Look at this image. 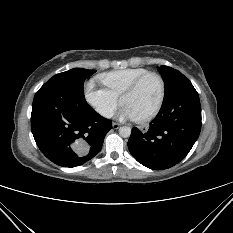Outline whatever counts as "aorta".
Returning <instances> with one entry per match:
<instances>
[{
    "label": "aorta",
    "mask_w": 233,
    "mask_h": 233,
    "mask_svg": "<svg viewBox=\"0 0 233 233\" xmlns=\"http://www.w3.org/2000/svg\"><path fill=\"white\" fill-rule=\"evenodd\" d=\"M119 134L123 138L130 137L131 135V128L128 126H122L119 128Z\"/></svg>",
    "instance_id": "aorta-1"
}]
</instances>
